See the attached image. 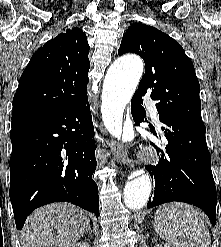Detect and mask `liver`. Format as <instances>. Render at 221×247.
Listing matches in <instances>:
<instances>
[{"label": "liver", "instance_id": "6515ba94", "mask_svg": "<svg viewBox=\"0 0 221 247\" xmlns=\"http://www.w3.org/2000/svg\"><path fill=\"white\" fill-rule=\"evenodd\" d=\"M88 213L68 203L35 210L21 232L23 247H73L90 226Z\"/></svg>", "mask_w": 221, "mask_h": 247}]
</instances>
